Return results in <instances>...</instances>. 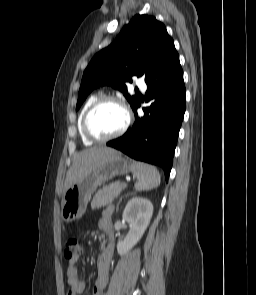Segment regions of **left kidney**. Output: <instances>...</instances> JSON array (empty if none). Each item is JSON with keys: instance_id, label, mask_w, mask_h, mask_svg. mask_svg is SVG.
Returning <instances> with one entry per match:
<instances>
[{"instance_id": "5707ae66", "label": "left kidney", "mask_w": 256, "mask_h": 295, "mask_svg": "<svg viewBox=\"0 0 256 295\" xmlns=\"http://www.w3.org/2000/svg\"><path fill=\"white\" fill-rule=\"evenodd\" d=\"M153 214L152 203L142 197H133L126 204L123 211V219L130 225V230L125 238L118 242V254L123 256L134 247L142 238Z\"/></svg>"}]
</instances>
